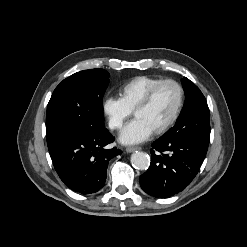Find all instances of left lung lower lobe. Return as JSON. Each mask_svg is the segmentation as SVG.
Wrapping results in <instances>:
<instances>
[{"instance_id": "left-lung-lower-lobe-1", "label": "left lung lower lobe", "mask_w": 247, "mask_h": 247, "mask_svg": "<svg viewBox=\"0 0 247 247\" xmlns=\"http://www.w3.org/2000/svg\"><path fill=\"white\" fill-rule=\"evenodd\" d=\"M209 142L185 137H160L153 142L151 164L140 176L141 188L152 196L182 191L198 173Z\"/></svg>"}]
</instances>
